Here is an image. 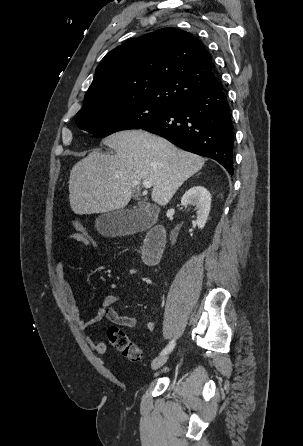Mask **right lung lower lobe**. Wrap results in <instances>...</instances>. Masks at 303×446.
I'll list each match as a JSON object with an SVG mask.
<instances>
[{"label":"right lung lower lobe","instance_id":"obj_1","mask_svg":"<svg viewBox=\"0 0 303 446\" xmlns=\"http://www.w3.org/2000/svg\"><path fill=\"white\" fill-rule=\"evenodd\" d=\"M141 129L186 151L212 158L233 175V123L225 89L219 82L185 96Z\"/></svg>","mask_w":303,"mask_h":446}]
</instances>
